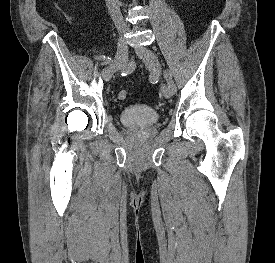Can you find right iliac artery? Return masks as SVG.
I'll return each instance as SVG.
<instances>
[{
	"instance_id": "82829eb1",
	"label": "right iliac artery",
	"mask_w": 275,
	"mask_h": 263,
	"mask_svg": "<svg viewBox=\"0 0 275 263\" xmlns=\"http://www.w3.org/2000/svg\"><path fill=\"white\" fill-rule=\"evenodd\" d=\"M97 58H98V59L106 60V62H108V63L111 61V59H110L109 57L107 58V57H105V56H98Z\"/></svg>"
}]
</instances>
